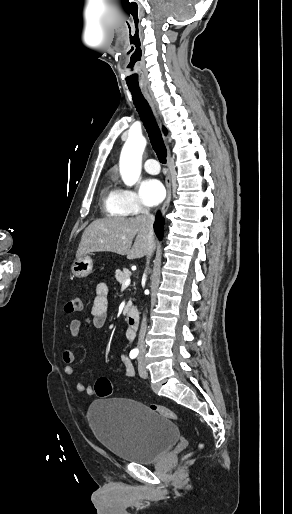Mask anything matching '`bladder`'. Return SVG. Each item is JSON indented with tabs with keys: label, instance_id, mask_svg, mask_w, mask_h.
<instances>
[{
	"label": "bladder",
	"instance_id": "31cf9c89",
	"mask_svg": "<svg viewBox=\"0 0 292 514\" xmlns=\"http://www.w3.org/2000/svg\"><path fill=\"white\" fill-rule=\"evenodd\" d=\"M87 420L103 447L126 462L153 463L179 439L173 421L132 399L94 401L87 410Z\"/></svg>",
	"mask_w": 292,
	"mask_h": 514
}]
</instances>
